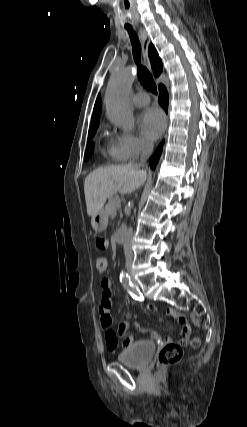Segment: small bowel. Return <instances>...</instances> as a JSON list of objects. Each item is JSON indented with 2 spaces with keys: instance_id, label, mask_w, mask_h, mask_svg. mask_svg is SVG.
Wrapping results in <instances>:
<instances>
[{
  "instance_id": "small-bowel-1",
  "label": "small bowel",
  "mask_w": 247,
  "mask_h": 427,
  "mask_svg": "<svg viewBox=\"0 0 247 427\" xmlns=\"http://www.w3.org/2000/svg\"><path fill=\"white\" fill-rule=\"evenodd\" d=\"M109 241L106 238L100 237L96 241V247L99 250H104L108 248ZM111 285L112 282L110 279L105 278L101 282L102 286V300L101 304L99 306V314H100V324L102 328L105 330V340H106V346L109 351L116 352L119 350V337H124V344L129 345L133 341L132 336H125L128 321L125 320L120 323L119 328L117 331H115L112 328L113 325V319L111 314V308L113 306V295L111 291ZM166 314L168 317L176 321L180 327V333H179V342L180 343H187L190 334H191V327L188 324L187 319L185 316H183L181 313L177 312L176 310L172 308H168L166 310ZM150 338L154 341H162L164 343H172V339L170 337H165L164 339L161 338V336L155 332H150Z\"/></svg>"
}]
</instances>
